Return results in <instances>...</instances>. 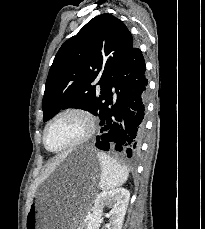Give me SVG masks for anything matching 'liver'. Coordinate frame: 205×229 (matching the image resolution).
Listing matches in <instances>:
<instances>
[{
  "mask_svg": "<svg viewBox=\"0 0 205 229\" xmlns=\"http://www.w3.org/2000/svg\"><path fill=\"white\" fill-rule=\"evenodd\" d=\"M65 158V155H61L59 157H57L53 162L49 163L48 164V167L46 169V172H50V171H53L57 165L60 164V162ZM30 203L28 204V209L30 207Z\"/></svg>",
  "mask_w": 205,
  "mask_h": 229,
  "instance_id": "liver-1",
  "label": "liver"
}]
</instances>
